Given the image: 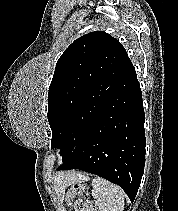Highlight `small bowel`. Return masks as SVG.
I'll list each match as a JSON object with an SVG mask.
<instances>
[{
    "label": "small bowel",
    "mask_w": 178,
    "mask_h": 211,
    "mask_svg": "<svg viewBox=\"0 0 178 211\" xmlns=\"http://www.w3.org/2000/svg\"><path fill=\"white\" fill-rule=\"evenodd\" d=\"M81 211H92V207L89 205H85Z\"/></svg>",
    "instance_id": "small-bowel-1"
}]
</instances>
